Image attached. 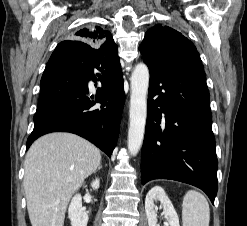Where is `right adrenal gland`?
I'll list each match as a JSON object with an SVG mask.
<instances>
[{
    "instance_id": "2a0ac1e0",
    "label": "right adrenal gland",
    "mask_w": 247,
    "mask_h": 226,
    "mask_svg": "<svg viewBox=\"0 0 247 226\" xmlns=\"http://www.w3.org/2000/svg\"><path fill=\"white\" fill-rule=\"evenodd\" d=\"M100 169H102V165H99V166H98V170H100Z\"/></svg>"
}]
</instances>
